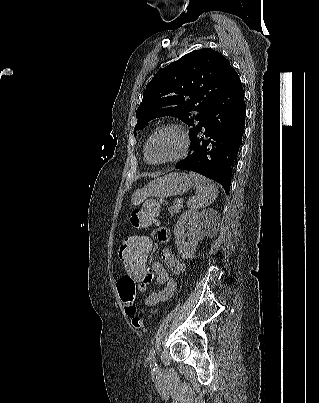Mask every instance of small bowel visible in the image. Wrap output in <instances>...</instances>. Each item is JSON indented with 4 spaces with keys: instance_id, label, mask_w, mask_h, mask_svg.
<instances>
[{
    "instance_id": "obj_1",
    "label": "small bowel",
    "mask_w": 319,
    "mask_h": 403,
    "mask_svg": "<svg viewBox=\"0 0 319 403\" xmlns=\"http://www.w3.org/2000/svg\"><path fill=\"white\" fill-rule=\"evenodd\" d=\"M154 235H156L158 242L163 244L167 243L170 239V234L167 229L163 227L155 229L150 236L146 237L149 239L151 255L157 247V243L153 238ZM161 258L163 263L157 260H152L149 271H146L143 274L145 280H142V283H145V285H152L154 277L160 285L158 291L152 292L146 297L145 303L147 306H155L169 300L176 290L175 280L170 276L166 267L174 274H183L186 270V264L179 260L169 249H164L162 251ZM133 286L135 287V284Z\"/></svg>"
}]
</instances>
